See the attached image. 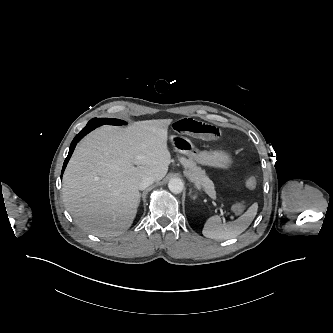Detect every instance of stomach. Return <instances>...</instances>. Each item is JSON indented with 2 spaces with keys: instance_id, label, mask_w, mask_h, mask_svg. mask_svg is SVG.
<instances>
[{
  "instance_id": "obj_1",
  "label": "stomach",
  "mask_w": 333,
  "mask_h": 333,
  "mask_svg": "<svg viewBox=\"0 0 333 333\" xmlns=\"http://www.w3.org/2000/svg\"><path fill=\"white\" fill-rule=\"evenodd\" d=\"M170 140L178 152L195 162L223 169L229 168L232 163L230 155L224 151H199L188 138L182 136L174 135Z\"/></svg>"
}]
</instances>
